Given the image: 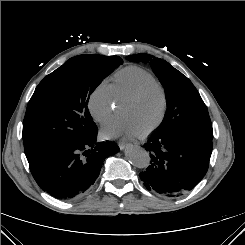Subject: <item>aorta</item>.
Returning a JSON list of instances; mask_svg holds the SVG:
<instances>
[{
	"mask_svg": "<svg viewBox=\"0 0 245 245\" xmlns=\"http://www.w3.org/2000/svg\"><path fill=\"white\" fill-rule=\"evenodd\" d=\"M128 161L135 167L143 169L150 164V154L138 145H129L125 150Z\"/></svg>",
	"mask_w": 245,
	"mask_h": 245,
	"instance_id": "1",
	"label": "aorta"
}]
</instances>
